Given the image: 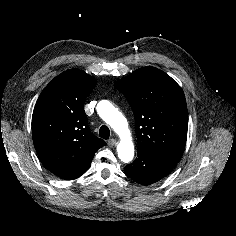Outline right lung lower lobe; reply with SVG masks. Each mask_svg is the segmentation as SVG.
<instances>
[{
    "label": "right lung lower lobe",
    "mask_w": 236,
    "mask_h": 236,
    "mask_svg": "<svg viewBox=\"0 0 236 236\" xmlns=\"http://www.w3.org/2000/svg\"><path fill=\"white\" fill-rule=\"evenodd\" d=\"M85 171H86V170H85ZM85 171L80 172V173H76V174H74V175H70V176L65 177V178H63V179H65V180L76 179V178L80 177Z\"/></svg>",
    "instance_id": "1"
}]
</instances>
